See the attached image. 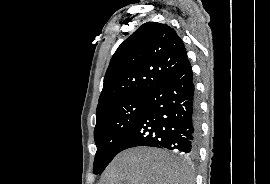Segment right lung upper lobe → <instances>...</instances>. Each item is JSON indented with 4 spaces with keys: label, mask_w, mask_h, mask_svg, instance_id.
Instances as JSON below:
<instances>
[{
    "label": "right lung upper lobe",
    "mask_w": 270,
    "mask_h": 184,
    "mask_svg": "<svg viewBox=\"0 0 270 184\" xmlns=\"http://www.w3.org/2000/svg\"><path fill=\"white\" fill-rule=\"evenodd\" d=\"M184 43L166 24L147 22L114 53L104 78L97 117L103 108L147 96L187 61Z\"/></svg>",
    "instance_id": "1"
}]
</instances>
